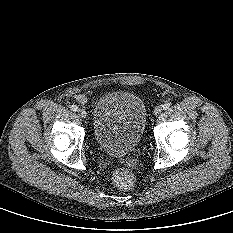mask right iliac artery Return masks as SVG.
Masks as SVG:
<instances>
[{
    "label": "right iliac artery",
    "instance_id": "right-iliac-artery-1",
    "mask_svg": "<svg viewBox=\"0 0 233 233\" xmlns=\"http://www.w3.org/2000/svg\"><path fill=\"white\" fill-rule=\"evenodd\" d=\"M71 110L72 111H77L78 110V106L77 105H72L71 106Z\"/></svg>",
    "mask_w": 233,
    "mask_h": 233
}]
</instances>
